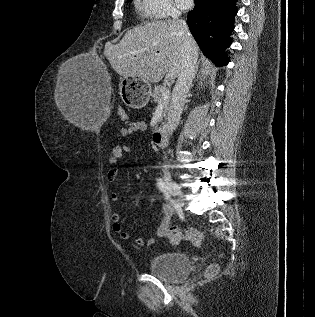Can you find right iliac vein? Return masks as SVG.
Listing matches in <instances>:
<instances>
[{
    "label": "right iliac vein",
    "instance_id": "obj_1",
    "mask_svg": "<svg viewBox=\"0 0 315 317\" xmlns=\"http://www.w3.org/2000/svg\"><path fill=\"white\" fill-rule=\"evenodd\" d=\"M165 181L170 193L177 199L180 205H183L184 196L177 183H175L168 174H165Z\"/></svg>",
    "mask_w": 315,
    "mask_h": 317
}]
</instances>
